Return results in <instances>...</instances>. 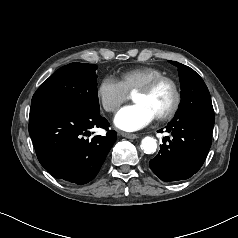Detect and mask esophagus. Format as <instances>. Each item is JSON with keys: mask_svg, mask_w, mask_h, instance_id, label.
<instances>
[{"mask_svg": "<svg viewBox=\"0 0 238 238\" xmlns=\"http://www.w3.org/2000/svg\"><path fill=\"white\" fill-rule=\"evenodd\" d=\"M120 135L122 137L128 138V139H135L138 137V135L133 134V133H126V132H120Z\"/></svg>", "mask_w": 238, "mask_h": 238, "instance_id": "obj_1", "label": "esophagus"}]
</instances>
